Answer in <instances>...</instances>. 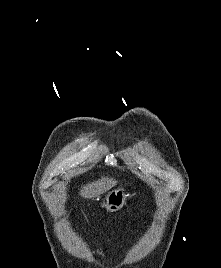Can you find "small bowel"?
Segmentation results:
<instances>
[{
  "instance_id": "small-bowel-1",
  "label": "small bowel",
  "mask_w": 221,
  "mask_h": 268,
  "mask_svg": "<svg viewBox=\"0 0 221 268\" xmlns=\"http://www.w3.org/2000/svg\"><path fill=\"white\" fill-rule=\"evenodd\" d=\"M95 257H102L104 255L103 251L98 249L93 252Z\"/></svg>"
}]
</instances>
